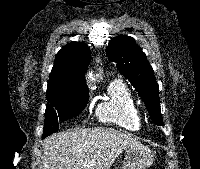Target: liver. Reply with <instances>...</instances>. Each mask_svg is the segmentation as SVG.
Segmentation results:
<instances>
[{
	"label": "liver",
	"mask_w": 200,
	"mask_h": 169,
	"mask_svg": "<svg viewBox=\"0 0 200 169\" xmlns=\"http://www.w3.org/2000/svg\"><path fill=\"white\" fill-rule=\"evenodd\" d=\"M141 143L112 128L74 129L44 141L42 169H109L123 150Z\"/></svg>",
	"instance_id": "1"
}]
</instances>
